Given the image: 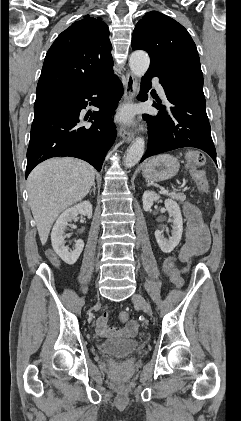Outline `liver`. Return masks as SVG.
Here are the masks:
<instances>
[{
	"label": "liver",
	"instance_id": "6515ba94",
	"mask_svg": "<svg viewBox=\"0 0 241 421\" xmlns=\"http://www.w3.org/2000/svg\"><path fill=\"white\" fill-rule=\"evenodd\" d=\"M94 180V168L76 158H52L33 169L27 181L29 204L42 245L58 215L82 200Z\"/></svg>",
	"mask_w": 241,
	"mask_h": 421
}]
</instances>
